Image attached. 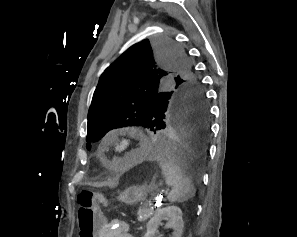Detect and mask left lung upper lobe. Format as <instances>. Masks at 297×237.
Here are the masks:
<instances>
[{
  "label": "left lung upper lobe",
  "instance_id": "5c2ea615",
  "mask_svg": "<svg viewBox=\"0 0 297 237\" xmlns=\"http://www.w3.org/2000/svg\"><path fill=\"white\" fill-rule=\"evenodd\" d=\"M206 103L186 53L171 39H145L101 75L88 112L87 149L109 130L141 125L155 132L177 101Z\"/></svg>",
  "mask_w": 297,
  "mask_h": 237
}]
</instances>
